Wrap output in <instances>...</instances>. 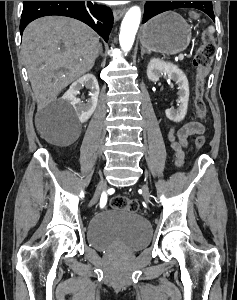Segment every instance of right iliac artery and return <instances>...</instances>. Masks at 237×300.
<instances>
[{"instance_id": "right-iliac-artery-1", "label": "right iliac artery", "mask_w": 237, "mask_h": 300, "mask_svg": "<svg viewBox=\"0 0 237 300\" xmlns=\"http://www.w3.org/2000/svg\"><path fill=\"white\" fill-rule=\"evenodd\" d=\"M106 201L102 200L100 201V206L103 207L105 205Z\"/></svg>"}]
</instances>
